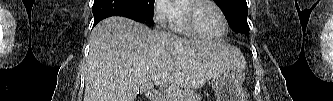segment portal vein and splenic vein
Here are the masks:
<instances>
[{
  "instance_id": "18ae733b",
  "label": "portal vein and splenic vein",
  "mask_w": 333,
  "mask_h": 101,
  "mask_svg": "<svg viewBox=\"0 0 333 101\" xmlns=\"http://www.w3.org/2000/svg\"><path fill=\"white\" fill-rule=\"evenodd\" d=\"M151 79H152L155 83H159L160 76H159V75H153V76L151 77Z\"/></svg>"
}]
</instances>
